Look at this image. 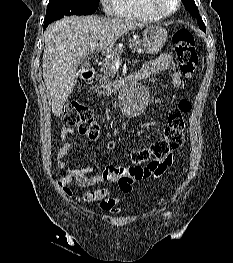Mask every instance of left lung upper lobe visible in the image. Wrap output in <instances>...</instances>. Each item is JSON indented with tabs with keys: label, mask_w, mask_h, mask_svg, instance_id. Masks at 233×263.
Returning <instances> with one entry per match:
<instances>
[{
	"label": "left lung upper lobe",
	"mask_w": 233,
	"mask_h": 263,
	"mask_svg": "<svg viewBox=\"0 0 233 263\" xmlns=\"http://www.w3.org/2000/svg\"><path fill=\"white\" fill-rule=\"evenodd\" d=\"M183 3L185 4V7L188 9L190 14L194 17H197V22L200 27V29L205 30V24L203 23L199 13H198V8L195 5L194 0H183Z\"/></svg>",
	"instance_id": "left-lung-upper-lobe-1"
}]
</instances>
